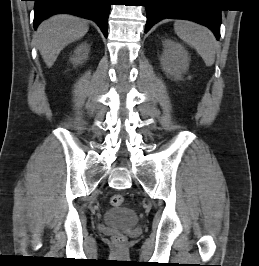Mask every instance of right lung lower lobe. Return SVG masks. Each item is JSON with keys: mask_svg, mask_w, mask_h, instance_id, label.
Here are the masks:
<instances>
[{"mask_svg": "<svg viewBox=\"0 0 259 266\" xmlns=\"http://www.w3.org/2000/svg\"><path fill=\"white\" fill-rule=\"evenodd\" d=\"M34 28L54 14L68 13L95 21L107 37L111 0H34Z\"/></svg>", "mask_w": 259, "mask_h": 266, "instance_id": "98d812e1", "label": "right lung lower lobe"}]
</instances>
